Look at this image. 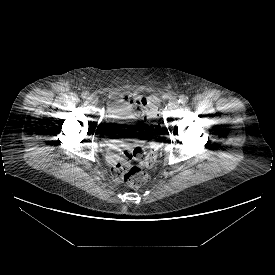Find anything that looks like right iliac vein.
<instances>
[{
  "label": "right iliac vein",
  "mask_w": 275,
  "mask_h": 275,
  "mask_svg": "<svg viewBox=\"0 0 275 275\" xmlns=\"http://www.w3.org/2000/svg\"><path fill=\"white\" fill-rule=\"evenodd\" d=\"M88 100L91 104H97L98 102V98L95 95H91Z\"/></svg>",
  "instance_id": "1"
}]
</instances>
